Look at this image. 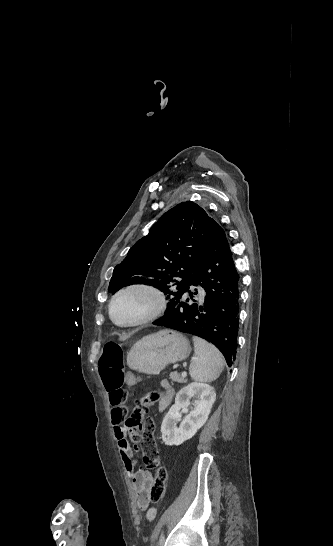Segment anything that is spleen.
<instances>
[{"instance_id":"1","label":"spleen","mask_w":333,"mask_h":546,"mask_svg":"<svg viewBox=\"0 0 333 546\" xmlns=\"http://www.w3.org/2000/svg\"><path fill=\"white\" fill-rule=\"evenodd\" d=\"M194 357L189 371L192 379L197 382H212L223 371L225 360L219 350L207 341L193 336Z\"/></svg>"}]
</instances>
